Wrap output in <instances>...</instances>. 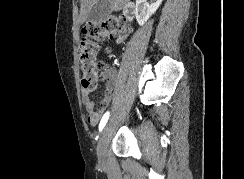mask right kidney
Wrapping results in <instances>:
<instances>
[{
  "label": "right kidney",
  "mask_w": 244,
  "mask_h": 179,
  "mask_svg": "<svg viewBox=\"0 0 244 179\" xmlns=\"http://www.w3.org/2000/svg\"><path fill=\"white\" fill-rule=\"evenodd\" d=\"M161 2H163V0H156L154 4H150L149 6L147 0H136L135 16L139 26H144L150 16L158 10Z\"/></svg>",
  "instance_id": "right-kidney-1"
}]
</instances>
